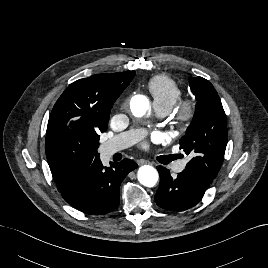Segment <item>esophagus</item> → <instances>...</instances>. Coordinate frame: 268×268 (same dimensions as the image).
<instances>
[{"label": "esophagus", "mask_w": 268, "mask_h": 268, "mask_svg": "<svg viewBox=\"0 0 268 268\" xmlns=\"http://www.w3.org/2000/svg\"><path fill=\"white\" fill-rule=\"evenodd\" d=\"M137 162L138 165L150 164V162L146 159H139Z\"/></svg>", "instance_id": "34e87169"}]
</instances>
